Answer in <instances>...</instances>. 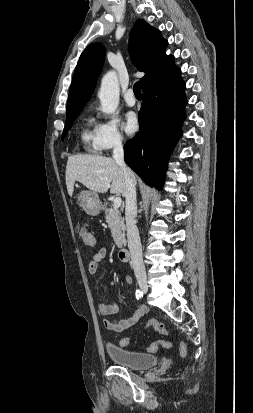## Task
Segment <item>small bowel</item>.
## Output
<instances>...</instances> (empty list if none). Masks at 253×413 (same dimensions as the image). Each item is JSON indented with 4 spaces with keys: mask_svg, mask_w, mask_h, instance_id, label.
Here are the masks:
<instances>
[{
    "mask_svg": "<svg viewBox=\"0 0 253 413\" xmlns=\"http://www.w3.org/2000/svg\"><path fill=\"white\" fill-rule=\"evenodd\" d=\"M107 256V249L100 248L96 254L94 255L93 259L90 261L88 265V272L91 275L97 273L100 264ZM126 282L131 283V278L129 276L126 277ZM100 314L103 316H110L117 312L118 306L116 303H108V302H100L98 306ZM147 313V307L144 305H140L136 308L133 314L124 320H115L113 318H105L103 321L104 327L108 330L114 332H124L127 329L131 328L135 325L145 314Z\"/></svg>",
    "mask_w": 253,
    "mask_h": 413,
    "instance_id": "c3829d8e",
    "label": "small bowel"
}]
</instances>
